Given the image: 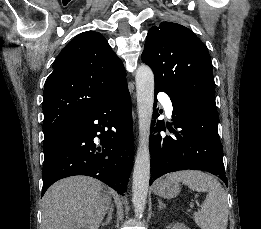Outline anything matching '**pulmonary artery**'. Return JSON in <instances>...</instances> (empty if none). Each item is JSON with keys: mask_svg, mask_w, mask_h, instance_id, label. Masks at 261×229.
<instances>
[{"mask_svg": "<svg viewBox=\"0 0 261 229\" xmlns=\"http://www.w3.org/2000/svg\"><path fill=\"white\" fill-rule=\"evenodd\" d=\"M160 97L162 98L161 104L164 105V112L166 115H173V107L175 104L174 100H171V96H169V91H160Z\"/></svg>", "mask_w": 261, "mask_h": 229, "instance_id": "1", "label": "pulmonary artery"}]
</instances>
